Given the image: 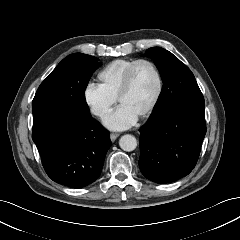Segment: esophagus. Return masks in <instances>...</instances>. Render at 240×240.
Returning a JSON list of instances; mask_svg holds the SVG:
<instances>
[{
  "instance_id": "esophagus-1",
  "label": "esophagus",
  "mask_w": 240,
  "mask_h": 240,
  "mask_svg": "<svg viewBox=\"0 0 240 240\" xmlns=\"http://www.w3.org/2000/svg\"><path fill=\"white\" fill-rule=\"evenodd\" d=\"M119 135H120L119 133L112 132L110 134V138H111L112 141H115L119 137Z\"/></svg>"
}]
</instances>
